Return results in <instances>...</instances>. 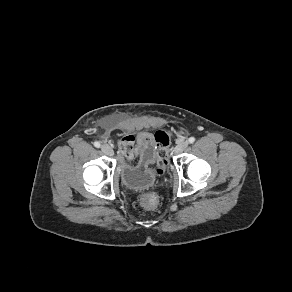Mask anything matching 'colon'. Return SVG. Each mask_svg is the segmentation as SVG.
I'll return each instance as SVG.
<instances>
[{
    "label": "colon",
    "instance_id": "5ec220e1",
    "mask_svg": "<svg viewBox=\"0 0 292 292\" xmlns=\"http://www.w3.org/2000/svg\"><path fill=\"white\" fill-rule=\"evenodd\" d=\"M172 137L173 134L170 131H158L155 134V140L158 146V160L156 169V173L158 175H162L167 166V155ZM139 203L144 209L152 210L157 207L159 198L157 194L153 192H146L140 195Z\"/></svg>",
    "mask_w": 292,
    "mask_h": 292
}]
</instances>
